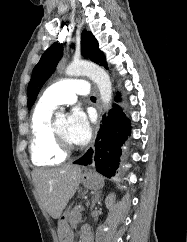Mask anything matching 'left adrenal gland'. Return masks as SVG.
<instances>
[{
	"mask_svg": "<svg viewBox=\"0 0 187 242\" xmlns=\"http://www.w3.org/2000/svg\"><path fill=\"white\" fill-rule=\"evenodd\" d=\"M101 193H102V191H97V192L93 195V197H92V206H91V208H93V207L95 206L96 202L99 201L100 196H101Z\"/></svg>",
	"mask_w": 187,
	"mask_h": 242,
	"instance_id": "left-adrenal-gland-1",
	"label": "left adrenal gland"
}]
</instances>
